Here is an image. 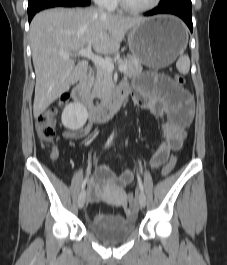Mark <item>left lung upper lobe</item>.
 <instances>
[{
    "label": "left lung upper lobe",
    "instance_id": "left-lung-upper-lobe-1",
    "mask_svg": "<svg viewBox=\"0 0 227 265\" xmlns=\"http://www.w3.org/2000/svg\"><path fill=\"white\" fill-rule=\"evenodd\" d=\"M166 6H186L192 7L191 0H161L159 3V7Z\"/></svg>",
    "mask_w": 227,
    "mask_h": 265
}]
</instances>
